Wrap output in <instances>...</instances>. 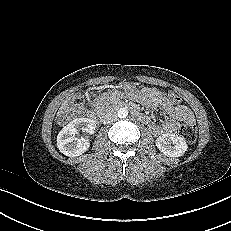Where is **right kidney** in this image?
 Wrapping results in <instances>:
<instances>
[{
  "label": "right kidney",
  "mask_w": 231,
  "mask_h": 231,
  "mask_svg": "<svg viewBox=\"0 0 231 231\" xmlns=\"http://www.w3.org/2000/svg\"><path fill=\"white\" fill-rule=\"evenodd\" d=\"M96 123L88 118H77L68 123L57 136V147L69 157H76L86 152L90 146L88 137L77 138L79 131L94 133Z\"/></svg>",
  "instance_id": "ca27d5eb"
}]
</instances>
